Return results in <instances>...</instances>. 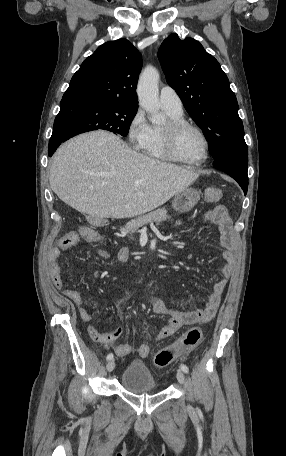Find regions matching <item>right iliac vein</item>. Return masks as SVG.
Wrapping results in <instances>:
<instances>
[{"label":"right iliac vein","instance_id":"right-iliac-vein-1","mask_svg":"<svg viewBox=\"0 0 286 456\" xmlns=\"http://www.w3.org/2000/svg\"><path fill=\"white\" fill-rule=\"evenodd\" d=\"M114 368H115V361L114 360H110L107 363L106 369H107L108 372H111V371H113Z\"/></svg>","mask_w":286,"mask_h":456}]
</instances>
